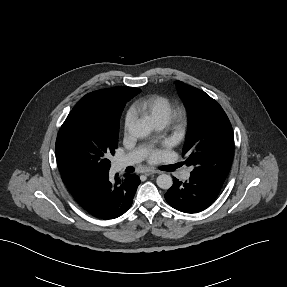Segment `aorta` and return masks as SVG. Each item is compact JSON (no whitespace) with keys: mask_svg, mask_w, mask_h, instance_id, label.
I'll return each instance as SVG.
<instances>
[{"mask_svg":"<svg viewBox=\"0 0 287 287\" xmlns=\"http://www.w3.org/2000/svg\"><path fill=\"white\" fill-rule=\"evenodd\" d=\"M152 128L143 121H137L129 127V133L135 138H144L151 133ZM156 183L161 189H169L173 180L168 174H161L157 177Z\"/></svg>","mask_w":287,"mask_h":287,"instance_id":"762f6f07","label":"aorta"}]
</instances>
